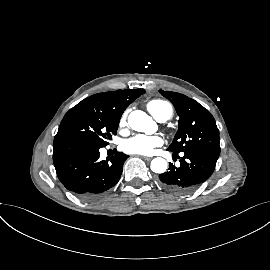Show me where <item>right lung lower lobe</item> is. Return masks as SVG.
Wrapping results in <instances>:
<instances>
[{"label":"right lung lower lobe","mask_w":270,"mask_h":270,"mask_svg":"<svg viewBox=\"0 0 270 270\" xmlns=\"http://www.w3.org/2000/svg\"><path fill=\"white\" fill-rule=\"evenodd\" d=\"M100 148L80 139L54 140L53 162L57 176L69 191L81 198H94L117 184L129 157L118 152L100 161Z\"/></svg>","instance_id":"obj_1"}]
</instances>
